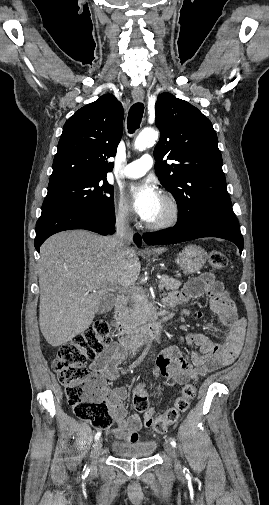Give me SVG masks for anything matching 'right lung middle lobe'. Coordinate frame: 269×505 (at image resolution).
I'll use <instances>...</instances> for the list:
<instances>
[{
    "label": "right lung middle lobe",
    "mask_w": 269,
    "mask_h": 505,
    "mask_svg": "<svg viewBox=\"0 0 269 505\" xmlns=\"http://www.w3.org/2000/svg\"><path fill=\"white\" fill-rule=\"evenodd\" d=\"M55 206H74L108 220L113 219L114 189L107 179L86 180L48 188L42 210Z\"/></svg>",
    "instance_id": "obj_1"
}]
</instances>
